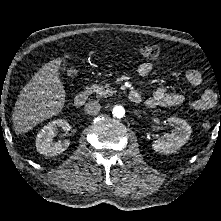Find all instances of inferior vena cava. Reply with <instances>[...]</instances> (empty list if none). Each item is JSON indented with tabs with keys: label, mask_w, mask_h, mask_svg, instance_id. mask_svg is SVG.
<instances>
[{
	"label": "inferior vena cava",
	"mask_w": 221,
	"mask_h": 221,
	"mask_svg": "<svg viewBox=\"0 0 221 221\" xmlns=\"http://www.w3.org/2000/svg\"><path fill=\"white\" fill-rule=\"evenodd\" d=\"M101 109V105L98 101H89L84 106V111L86 114L96 115Z\"/></svg>",
	"instance_id": "1"
}]
</instances>
